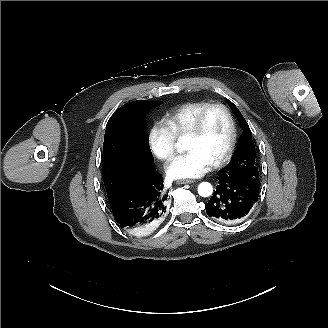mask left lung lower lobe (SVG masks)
I'll use <instances>...</instances> for the list:
<instances>
[{
	"label": "left lung lower lobe",
	"instance_id": "1",
	"mask_svg": "<svg viewBox=\"0 0 328 328\" xmlns=\"http://www.w3.org/2000/svg\"><path fill=\"white\" fill-rule=\"evenodd\" d=\"M219 185L205 204L206 213L222 223L237 222L246 217L259 195L260 181L247 175L218 172Z\"/></svg>",
	"mask_w": 328,
	"mask_h": 328
}]
</instances>
